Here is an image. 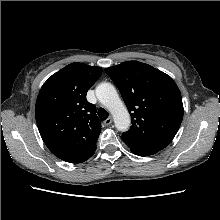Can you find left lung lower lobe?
<instances>
[{
	"mask_svg": "<svg viewBox=\"0 0 220 220\" xmlns=\"http://www.w3.org/2000/svg\"><path fill=\"white\" fill-rule=\"evenodd\" d=\"M131 151L136 154V155H139V156H149V155H153L157 152L155 151H149V150H134V149H131Z\"/></svg>",
	"mask_w": 220,
	"mask_h": 220,
	"instance_id": "1",
	"label": "left lung lower lobe"
}]
</instances>
